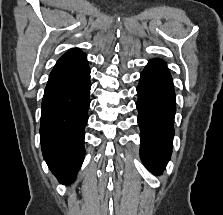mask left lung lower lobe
<instances>
[{
	"mask_svg": "<svg viewBox=\"0 0 223 215\" xmlns=\"http://www.w3.org/2000/svg\"><path fill=\"white\" fill-rule=\"evenodd\" d=\"M137 94L140 156L150 171L160 174L171 156L176 111L173 81L164 61L148 62L140 75Z\"/></svg>",
	"mask_w": 223,
	"mask_h": 215,
	"instance_id": "obj_1",
	"label": "left lung lower lobe"
}]
</instances>
